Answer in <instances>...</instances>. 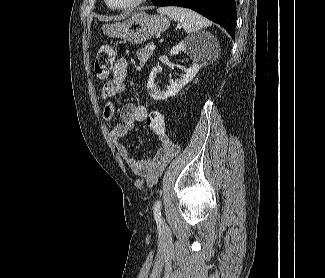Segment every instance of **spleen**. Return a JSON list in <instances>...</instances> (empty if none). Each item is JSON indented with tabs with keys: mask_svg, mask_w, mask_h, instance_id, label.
I'll use <instances>...</instances> for the list:
<instances>
[{
	"mask_svg": "<svg viewBox=\"0 0 325 278\" xmlns=\"http://www.w3.org/2000/svg\"><path fill=\"white\" fill-rule=\"evenodd\" d=\"M157 12L168 16L174 21H181L183 29L187 33H194L211 25L208 19L187 8L175 6L159 7Z\"/></svg>",
	"mask_w": 325,
	"mask_h": 278,
	"instance_id": "1",
	"label": "spleen"
}]
</instances>
